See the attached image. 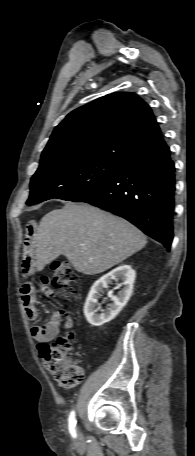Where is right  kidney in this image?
I'll return each mask as SVG.
<instances>
[{
    "label": "right kidney",
    "mask_w": 195,
    "mask_h": 456,
    "mask_svg": "<svg viewBox=\"0 0 195 456\" xmlns=\"http://www.w3.org/2000/svg\"><path fill=\"white\" fill-rule=\"evenodd\" d=\"M135 277L136 272L130 265H121L95 281L84 305V315L88 323L92 326L99 327L113 320L128 302L133 292ZM118 279L122 280L119 287L123 286V288L118 292L117 296L113 295V291L109 292L112 303L109 305L106 312L98 314L97 311L100 307L96 308V306L98 305L100 293H102L105 288H108V285L111 284L113 280Z\"/></svg>",
    "instance_id": "ca27d5eb"
}]
</instances>
